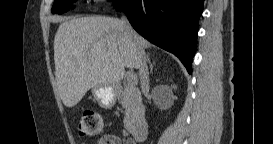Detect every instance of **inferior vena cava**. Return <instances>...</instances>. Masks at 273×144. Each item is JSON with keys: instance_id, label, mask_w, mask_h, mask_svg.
I'll return each mask as SVG.
<instances>
[{"instance_id": "602c4592", "label": "inferior vena cava", "mask_w": 273, "mask_h": 144, "mask_svg": "<svg viewBox=\"0 0 273 144\" xmlns=\"http://www.w3.org/2000/svg\"><path fill=\"white\" fill-rule=\"evenodd\" d=\"M121 21L125 28L126 33H128L134 39V49H135V54H136L137 62H138L140 83H141L142 90L144 92H147L149 89V72H148V66L146 63L144 49L142 47L141 42L139 41V38L137 37V33L132 29L127 18L125 16H122Z\"/></svg>"}]
</instances>
